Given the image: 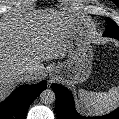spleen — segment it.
I'll list each match as a JSON object with an SVG mask.
<instances>
[{"instance_id":"1","label":"spleen","mask_w":119,"mask_h":119,"mask_svg":"<svg viewBox=\"0 0 119 119\" xmlns=\"http://www.w3.org/2000/svg\"><path fill=\"white\" fill-rule=\"evenodd\" d=\"M79 107L88 115H104L119 106V86L109 92H91L79 90Z\"/></svg>"}]
</instances>
